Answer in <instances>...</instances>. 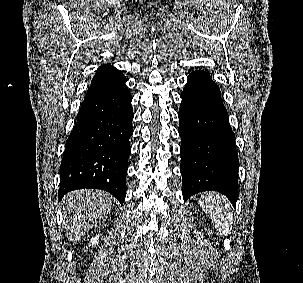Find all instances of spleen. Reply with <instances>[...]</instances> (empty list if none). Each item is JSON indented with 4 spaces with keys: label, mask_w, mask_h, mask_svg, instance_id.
I'll use <instances>...</instances> for the list:
<instances>
[{
    "label": "spleen",
    "mask_w": 303,
    "mask_h": 283,
    "mask_svg": "<svg viewBox=\"0 0 303 283\" xmlns=\"http://www.w3.org/2000/svg\"><path fill=\"white\" fill-rule=\"evenodd\" d=\"M199 205L220 235L226 236L233 224L232 207L227 198L215 192L204 193L199 199Z\"/></svg>",
    "instance_id": "obj_1"
}]
</instances>
